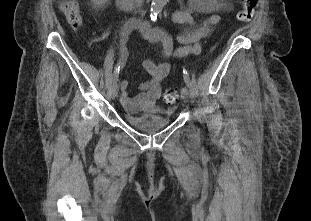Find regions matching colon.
Wrapping results in <instances>:
<instances>
[{"instance_id":"5ec220e1","label":"colon","mask_w":311,"mask_h":221,"mask_svg":"<svg viewBox=\"0 0 311 221\" xmlns=\"http://www.w3.org/2000/svg\"><path fill=\"white\" fill-rule=\"evenodd\" d=\"M244 9L237 17L241 23H250L253 19L258 0H242ZM60 9L73 30L81 27L83 16L77 0H60ZM163 99L165 104H173L178 99V89L176 87H167L164 91Z\"/></svg>"}]
</instances>
